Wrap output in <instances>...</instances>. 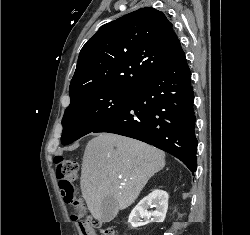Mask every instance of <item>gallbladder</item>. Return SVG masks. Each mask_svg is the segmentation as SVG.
Segmentation results:
<instances>
[{
	"label": "gallbladder",
	"instance_id": "obj_1",
	"mask_svg": "<svg viewBox=\"0 0 250 235\" xmlns=\"http://www.w3.org/2000/svg\"><path fill=\"white\" fill-rule=\"evenodd\" d=\"M118 213V205L113 197H107L101 204V221L110 222Z\"/></svg>",
	"mask_w": 250,
	"mask_h": 235
}]
</instances>
